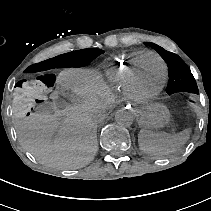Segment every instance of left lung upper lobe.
Instances as JSON below:
<instances>
[{
  "label": "left lung upper lobe",
  "mask_w": 211,
  "mask_h": 211,
  "mask_svg": "<svg viewBox=\"0 0 211 211\" xmlns=\"http://www.w3.org/2000/svg\"><path fill=\"white\" fill-rule=\"evenodd\" d=\"M145 44L154 48L168 64L169 82L166 88L168 94L182 91L199 93L196 81L189 67L178 55L168 52L156 44Z\"/></svg>",
  "instance_id": "left-lung-upper-lobe-1"
}]
</instances>
